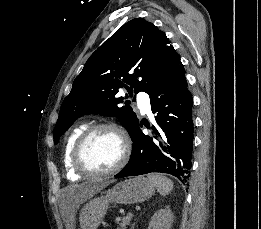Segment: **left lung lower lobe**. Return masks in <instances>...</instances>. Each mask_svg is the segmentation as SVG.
<instances>
[{
    "label": "left lung lower lobe",
    "mask_w": 261,
    "mask_h": 229,
    "mask_svg": "<svg viewBox=\"0 0 261 229\" xmlns=\"http://www.w3.org/2000/svg\"><path fill=\"white\" fill-rule=\"evenodd\" d=\"M180 63L148 93L157 128L152 137L144 135L139 124L131 136L129 163L115 177L162 172L178 179L189 177L193 150V99ZM142 126V124H140Z\"/></svg>",
    "instance_id": "left-lung-lower-lobe-1"
}]
</instances>
